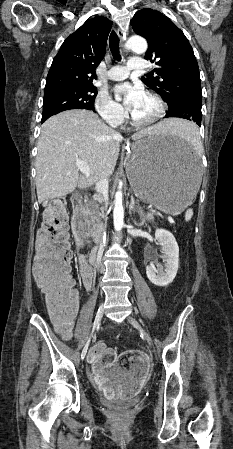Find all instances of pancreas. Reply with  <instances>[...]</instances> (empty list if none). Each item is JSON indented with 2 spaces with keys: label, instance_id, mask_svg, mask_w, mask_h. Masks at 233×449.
<instances>
[{
  "label": "pancreas",
  "instance_id": "1",
  "mask_svg": "<svg viewBox=\"0 0 233 449\" xmlns=\"http://www.w3.org/2000/svg\"><path fill=\"white\" fill-rule=\"evenodd\" d=\"M89 211L90 222L93 226H98L100 224L101 213L99 211V206L95 202H90L87 206ZM152 212H148L146 214L142 213L141 218L144 221H151L154 216Z\"/></svg>",
  "mask_w": 233,
  "mask_h": 449
}]
</instances>
